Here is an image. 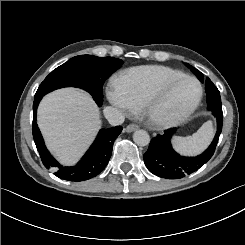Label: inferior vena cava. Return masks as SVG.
Wrapping results in <instances>:
<instances>
[{"instance_id":"1","label":"inferior vena cava","mask_w":245,"mask_h":245,"mask_svg":"<svg viewBox=\"0 0 245 245\" xmlns=\"http://www.w3.org/2000/svg\"><path fill=\"white\" fill-rule=\"evenodd\" d=\"M104 116L113 126L121 125L124 122V115L117 108L108 106L104 108Z\"/></svg>"}]
</instances>
